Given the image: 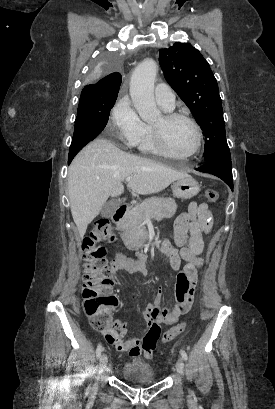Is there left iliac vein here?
Wrapping results in <instances>:
<instances>
[{"mask_svg":"<svg viewBox=\"0 0 275 409\" xmlns=\"http://www.w3.org/2000/svg\"><path fill=\"white\" fill-rule=\"evenodd\" d=\"M176 369H177V372H178L180 375H184V362H183V359H182V358H179V359H178V361H177V363H176Z\"/></svg>","mask_w":275,"mask_h":409,"instance_id":"4c4485c4","label":"left iliac vein"}]
</instances>
